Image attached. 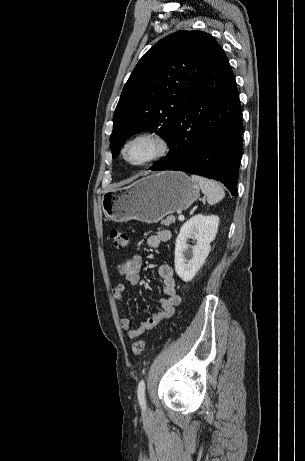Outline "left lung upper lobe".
Instances as JSON below:
<instances>
[{
  "label": "left lung upper lobe",
  "instance_id": "obj_1",
  "mask_svg": "<svg viewBox=\"0 0 305 461\" xmlns=\"http://www.w3.org/2000/svg\"><path fill=\"white\" fill-rule=\"evenodd\" d=\"M222 51L210 34L187 30L168 35L149 49L131 73L114 112L113 158L140 131L155 132L168 142L191 91Z\"/></svg>",
  "mask_w": 305,
  "mask_h": 461
}]
</instances>
